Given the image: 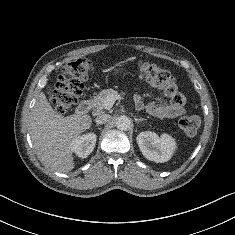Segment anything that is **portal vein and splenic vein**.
<instances>
[{
	"instance_id": "1",
	"label": "portal vein and splenic vein",
	"mask_w": 235,
	"mask_h": 235,
	"mask_svg": "<svg viewBox=\"0 0 235 235\" xmlns=\"http://www.w3.org/2000/svg\"><path fill=\"white\" fill-rule=\"evenodd\" d=\"M118 99H123V98L120 95H111V96H108L105 99V102H104L105 109L110 110L113 107L115 101L118 100Z\"/></svg>"
}]
</instances>
